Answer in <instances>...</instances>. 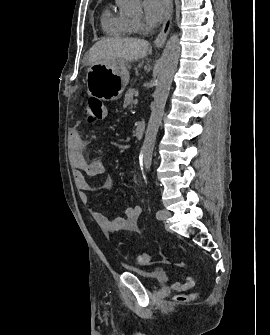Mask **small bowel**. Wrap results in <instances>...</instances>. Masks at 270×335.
Segmentation results:
<instances>
[{"mask_svg":"<svg viewBox=\"0 0 270 335\" xmlns=\"http://www.w3.org/2000/svg\"><path fill=\"white\" fill-rule=\"evenodd\" d=\"M85 140L81 137L77 129H71L68 134V156L70 165L73 169V179L76 188L79 191V197L82 203H89L88 192L92 191L87 177L96 176L105 173V165L101 160H88L84 150ZM113 180L107 177L104 180V188L111 190ZM92 216L98 226L106 232L137 231L139 220L142 215V207L139 205L126 208L124 216L107 218L99 211L92 210Z\"/></svg>","mask_w":270,"mask_h":335,"instance_id":"c3829d8e","label":"small bowel"}]
</instances>
